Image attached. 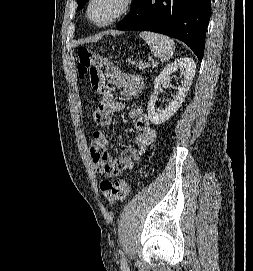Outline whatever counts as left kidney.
Returning <instances> with one entry per match:
<instances>
[{"label": "left kidney", "mask_w": 253, "mask_h": 271, "mask_svg": "<svg viewBox=\"0 0 253 271\" xmlns=\"http://www.w3.org/2000/svg\"><path fill=\"white\" fill-rule=\"evenodd\" d=\"M178 70L181 71L183 80L177 88L176 95L173 97V100L167 106H165L164 109L156 108L155 102L157 99L158 88L162 84L169 83L171 81V74ZM195 72L196 64L194 60L187 57L176 59L161 71L154 81V92L151 95L147 106L148 118L151 123L155 125L162 124L174 113H176L186 97L187 91L192 84Z\"/></svg>", "instance_id": "5707ae66"}]
</instances>
